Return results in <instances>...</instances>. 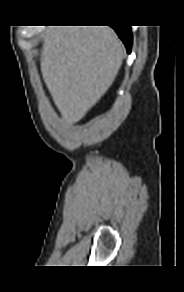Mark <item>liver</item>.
Segmentation results:
<instances>
[{
    "instance_id": "liver-1",
    "label": "liver",
    "mask_w": 184,
    "mask_h": 292,
    "mask_svg": "<svg viewBox=\"0 0 184 292\" xmlns=\"http://www.w3.org/2000/svg\"><path fill=\"white\" fill-rule=\"evenodd\" d=\"M124 46L108 26H51L43 36V80L68 123L80 121L114 82Z\"/></svg>"
}]
</instances>
